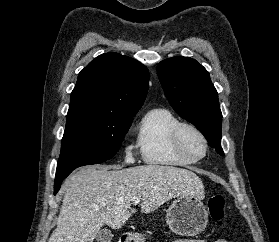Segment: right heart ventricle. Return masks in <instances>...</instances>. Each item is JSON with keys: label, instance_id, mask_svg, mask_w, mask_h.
<instances>
[{"label": "right heart ventricle", "instance_id": "right-heart-ventricle-1", "mask_svg": "<svg viewBox=\"0 0 279 242\" xmlns=\"http://www.w3.org/2000/svg\"><path fill=\"white\" fill-rule=\"evenodd\" d=\"M179 120L167 109L153 108L142 117L137 131V146L146 164L186 167L194 162L174 148L172 132Z\"/></svg>", "mask_w": 279, "mask_h": 242}]
</instances>
